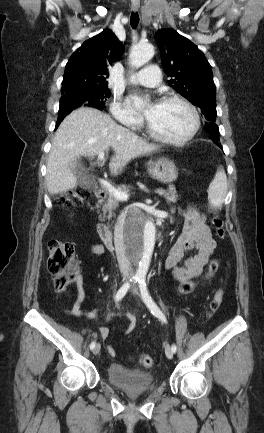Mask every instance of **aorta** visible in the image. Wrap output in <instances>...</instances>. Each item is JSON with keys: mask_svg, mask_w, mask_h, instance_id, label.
<instances>
[{"mask_svg": "<svg viewBox=\"0 0 264 433\" xmlns=\"http://www.w3.org/2000/svg\"><path fill=\"white\" fill-rule=\"evenodd\" d=\"M154 56V47L151 44L135 46L129 55L132 67L139 68L146 64ZM156 228L153 219H149L143 227V244L137 260L135 276L145 278L155 246Z\"/></svg>", "mask_w": 264, "mask_h": 433, "instance_id": "aorta-1", "label": "aorta"}]
</instances>
